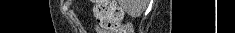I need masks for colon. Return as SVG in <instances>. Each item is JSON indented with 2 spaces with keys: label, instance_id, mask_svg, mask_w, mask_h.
<instances>
[{
  "label": "colon",
  "instance_id": "colon-1",
  "mask_svg": "<svg viewBox=\"0 0 235 33\" xmlns=\"http://www.w3.org/2000/svg\"><path fill=\"white\" fill-rule=\"evenodd\" d=\"M94 15L104 29L111 33H129L130 25H121L122 9L114 0H94Z\"/></svg>",
  "mask_w": 235,
  "mask_h": 33
}]
</instances>
